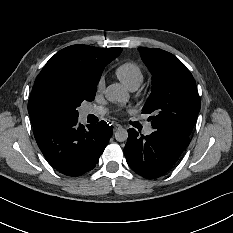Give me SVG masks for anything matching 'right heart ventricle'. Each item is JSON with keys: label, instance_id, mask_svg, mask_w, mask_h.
Wrapping results in <instances>:
<instances>
[{"label": "right heart ventricle", "instance_id": "obj_1", "mask_svg": "<svg viewBox=\"0 0 233 233\" xmlns=\"http://www.w3.org/2000/svg\"><path fill=\"white\" fill-rule=\"evenodd\" d=\"M115 74L120 82L128 89H137L144 79L141 66L132 60L120 63L115 69Z\"/></svg>", "mask_w": 233, "mask_h": 233}]
</instances>
